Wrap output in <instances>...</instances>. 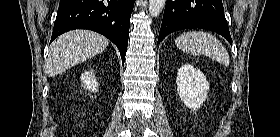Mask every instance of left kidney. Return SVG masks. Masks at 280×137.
Instances as JSON below:
<instances>
[{"mask_svg": "<svg viewBox=\"0 0 280 137\" xmlns=\"http://www.w3.org/2000/svg\"><path fill=\"white\" fill-rule=\"evenodd\" d=\"M176 84L181 101L193 110L200 108L206 100L210 87L205 75L189 64L179 68Z\"/></svg>", "mask_w": 280, "mask_h": 137, "instance_id": "5707ae66", "label": "left kidney"}]
</instances>
